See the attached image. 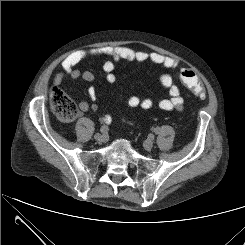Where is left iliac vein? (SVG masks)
<instances>
[{
	"instance_id": "obj_1",
	"label": "left iliac vein",
	"mask_w": 245,
	"mask_h": 245,
	"mask_svg": "<svg viewBox=\"0 0 245 245\" xmlns=\"http://www.w3.org/2000/svg\"><path fill=\"white\" fill-rule=\"evenodd\" d=\"M143 146L146 150H150L153 147V141L151 139H146L143 143Z\"/></svg>"
}]
</instances>
